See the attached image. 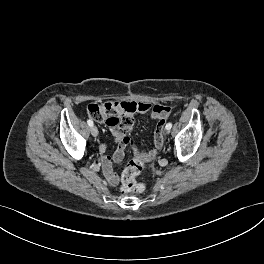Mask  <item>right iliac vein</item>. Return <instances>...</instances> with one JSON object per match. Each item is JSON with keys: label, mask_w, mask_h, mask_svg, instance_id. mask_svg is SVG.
Listing matches in <instances>:
<instances>
[{"label": "right iliac vein", "mask_w": 264, "mask_h": 264, "mask_svg": "<svg viewBox=\"0 0 264 264\" xmlns=\"http://www.w3.org/2000/svg\"><path fill=\"white\" fill-rule=\"evenodd\" d=\"M91 134L93 137H97L98 136V129L96 126H92L91 127Z\"/></svg>", "instance_id": "1"}]
</instances>
